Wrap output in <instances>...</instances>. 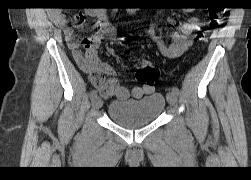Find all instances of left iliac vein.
<instances>
[{"label":"left iliac vein","instance_id":"obj_1","mask_svg":"<svg viewBox=\"0 0 251 180\" xmlns=\"http://www.w3.org/2000/svg\"><path fill=\"white\" fill-rule=\"evenodd\" d=\"M167 101L171 106H176L177 104V96L173 92H169L167 94Z\"/></svg>","mask_w":251,"mask_h":180}]
</instances>
